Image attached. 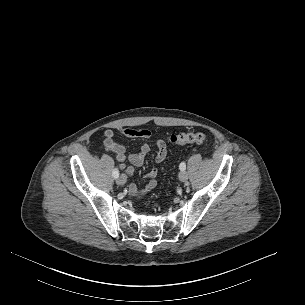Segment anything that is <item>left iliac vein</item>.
Instances as JSON below:
<instances>
[{
	"instance_id": "left-iliac-vein-1",
	"label": "left iliac vein",
	"mask_w": 305,
	"mask_h": 305,
	"mask_svg": "<svg viewBox=\"0 0 305 305\" xmlns=\"http://www.w3.org/2000/svg\"><path fill=\"white\" fill-rule=\"evenodd\" d=\"M179 179L182 181V182H186L188 180V173L185 171V170H182L180 173H179Z\"/></svg>"
}]
</instances>
